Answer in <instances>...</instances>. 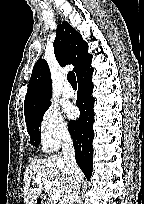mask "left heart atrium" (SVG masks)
Returning <instances> with one entry per match:
<instances>
[{"label":"left heart atrium","mask_w":144,"mask_h":204,"mask_svg":"<svg viewBox=\"0 0 144 204\" xmlns=\"http://www.w3.org/2000/svg\"><path fill=\"white\" fill-rule=\"evenodd\" d=\"M67 114L70 118H75L77 116V109L74 106H69L67 108Z\"/></svg>","instance_id":"left-heart-atrium-1"}]
</instances>
